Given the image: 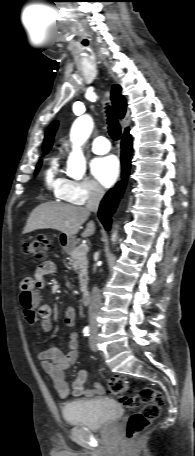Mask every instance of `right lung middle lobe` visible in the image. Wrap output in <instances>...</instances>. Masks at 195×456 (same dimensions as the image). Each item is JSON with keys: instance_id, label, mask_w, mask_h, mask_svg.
<instances>
[{"instance_id": "1", "label": "right lung middle lobe", "mask_w": 195, "mask_h": 456, "mask_svg": "<svg viewBox=\"0 0 195 456\" xmlns=\"http://www.w3.org/2000/svg\"><path fill=\"white\" fill-rule=\"evenodd\" d=\"M40 167H41V162H39V163L37 164V167H36L35 173H37V172L39 171Z\"/></svg>"}]
</instances>
